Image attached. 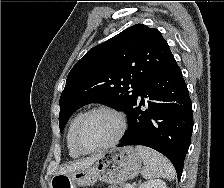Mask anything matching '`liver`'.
Returning <instances> with one entry per match:
<instances>
[{
    "instance_id": "obj_1",
    "label": "liver",
    "mask_w": 224,
    "mask_h": 188,
    "mask_svg": "<svg viewBox=\"0 0 224 188\" xmlns=\"http://www.w3.org/2000/svg\"><path fill=\"white\" fill-rule=\"evenodd\" d=\"M102 154L99 155H93L91 157L85 158V159H80L77 161L72 162L69 165L62 166L57 174H65V173H71L74 171L82 170L84 168H87L91 166L94 162H96Z\"/></svg>"
}]
</instances>
